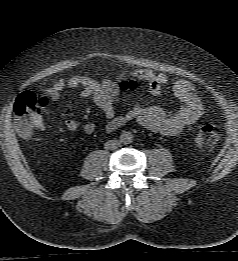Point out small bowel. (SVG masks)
I'll return each instance as SVG.
<instances>
[{
  "label": "small bowel",
  "instance_id": "obj_1",
  "mask_svg": "<svg viewBox=\"0 0 238 261\" xmlns=\"http://www.w3.org/2000/svg\"><path fill=\"white\" fill-rule=\"evenodd\" d=\"M130 80L146 81L153 95H159L168 85L166 74L157 73L152 69H136L116 79L107 78L102 81L88 76H70L55 82L43 93L42 97L50 104L58 100L64 90L81 87L80 95L92 100L107 117V132H113L131 121H136L148 130L174 136L195 123L202 115L203 107L196 87L187 80H179L172 85L173 95L180 103L179 109L175 112H167L158 106L145 107L133 104L125 114L118 116L116 111L120 103L121 84ZM43 127L42 121L39 129ZM65 127L69 131L81 129L87 134L96 130L94 123L80 122L75 119L67 120Z\"/></svg>",
  "mask_w": 238,
  "mask_h": 261
}]
</instances>
